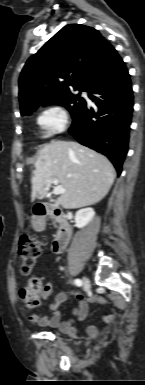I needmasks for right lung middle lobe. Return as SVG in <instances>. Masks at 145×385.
<instances>
[{
  "label": "right lung middle lobe",
  "instance_id": "1",
  "mask_svg": "<svg viewBox=\"0 0 145 385\" xmlns=\"http://www.w3.org/2000/svg\"><path fill=\"white\" fill-rule=\"evenodd\" d=\"M80 91H85V90H80ZM52 103L60 104L66 107L72 117L76 115V113L85 105L86 101L80 97V94L78 95H72L71 92H68L66 94H63L52 101ZM32 112V109L26 111L23 113V115H28Z\"/></svg>",
  "mask_w": 145,
  "mask_h": 385
}]
</instances>
